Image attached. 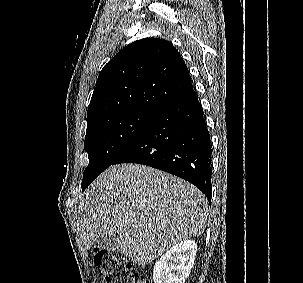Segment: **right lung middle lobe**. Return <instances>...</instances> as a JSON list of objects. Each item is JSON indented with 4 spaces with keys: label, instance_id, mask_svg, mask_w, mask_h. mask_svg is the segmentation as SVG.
Segmentation results:
<instances>
[{
    "label": "right lung middle lobe",
    "instance_id": "obj_1",
    "mask_svg": "<svg viewBox=\"0 0 303 283\" xmlns=\"http://www.w3.org/2000/svg\"><path fill=\"white\" fill-rule=\"evenodd\" d=\"M156 114L128 111L103 118L87 127L84 148L89 164L82 191L135 141Z\"/></svg>",
    "mask_w": 303,
    "mask_h": 283
}]
</instances>
